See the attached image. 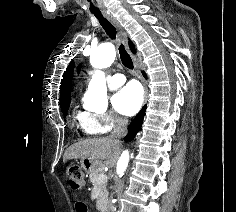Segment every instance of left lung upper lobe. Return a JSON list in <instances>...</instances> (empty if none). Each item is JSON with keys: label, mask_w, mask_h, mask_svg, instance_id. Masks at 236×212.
Wrapping results in <instances>:
<instances>
[{"label": "left lung upper lobe", "mask_w": 236, "mask_h": 212, "mask_svg": "<svg viewBox=\"0 0 236 212\" xmlns=\"http://www.w3.org/2000/svg\"><path fill=\"white\" fill-rule=\"evenodd\" d=\"M80 70V66L78 67V71Z\"/></svg>", "instance_id": "1"}]
</instances>
